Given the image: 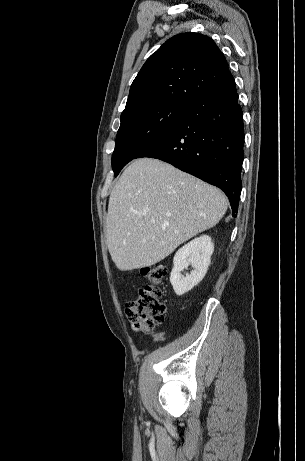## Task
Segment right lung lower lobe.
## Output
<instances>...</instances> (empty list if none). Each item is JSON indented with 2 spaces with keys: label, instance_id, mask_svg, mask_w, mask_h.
<instances>
[{
  "label": "right lung lower lobe",
  "instance_id": "right-lung-lower-lobe-1",
  "mask_svg": "<svg viewBox=\"0 0 305 461\" xmlns=\"http://www.w3.org/2000/svg\"><path fill=\"white\" fill-rule=\"evenodd\" d=\"M243 128L232 78L191 102L177 125L137 158L160 159L219 187L236 217L242 184Z\"/></svg>",
  "mask_w": 305,
  "mask_h": 461
}]
</instances>
